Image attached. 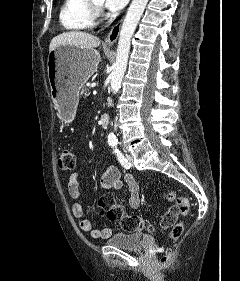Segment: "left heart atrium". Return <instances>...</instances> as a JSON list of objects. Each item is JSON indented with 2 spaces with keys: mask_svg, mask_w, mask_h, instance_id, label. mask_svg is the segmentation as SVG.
<instances>
[{
  "mask_svg": "<svg viewBox=\"0 0 240 281\" xmlns=\"http://www.w3.org/2000/svg\"><path fill=\"white\" fill-rule=\"evenodd\" d=\"M129 0H107L106 5L110 10L116 11L122 9Z\"/></svg>",
  "mask_w": 240,
  "mask_h": 281,
  "instance_id": "obj_1",
  "label": "left heart atrium"
}]
</instances>
